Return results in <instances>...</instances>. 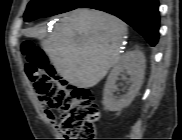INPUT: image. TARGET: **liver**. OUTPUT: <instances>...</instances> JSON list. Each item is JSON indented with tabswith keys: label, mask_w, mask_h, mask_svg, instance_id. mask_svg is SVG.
<instances>
[{
	"label": "liver",
	"mask_w": 182,
	"mask_h": 140,
	"mask_svg": "<svg viewBox=\"0 0 182 140\" xmlns=\"http://www.w3.org/2000/svg\"><path fill=\"white\" fill-rule=\"evenodd\" d=\"M46 28H32L27 37L41 40L57 73L69 84L91 88L115 66L127 25L117 17L93 9H76L65 14L46 37Z\"/></svg>",
	"instance_id": "liver-1"
}]
</instances>
